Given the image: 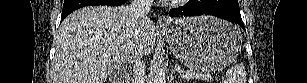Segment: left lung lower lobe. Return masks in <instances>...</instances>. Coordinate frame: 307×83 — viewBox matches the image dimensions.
Segmentation results:
<instances>
[{"mask_svg":"<svg viewBox=\"0 0 307 83\" xmlns=\"http://www.w3.org/2000/svg\"><path fill=\"white\" fill-rule=\"evenodd\" d=\"M203 14L217 16L230 22H236L245 30L241 19L238 0H190L184 6L174 8L170 11L171 17Z\"/></svg>","mask_w":307,"mask_h":83,"instance_id":"left-lung-lower-lobe-1","label":"left lung lower lobe"}]
</instances>
